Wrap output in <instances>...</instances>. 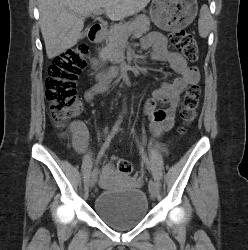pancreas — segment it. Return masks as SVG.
Masks as SVG:
<instances>
[{"label":"pancreas","instance_id":"1","mask_svg":"<svg viewBox=\"0 0 248 250\" xmlns=\"http://www.w3.org/2000/svg\"><path fill=\"white\" fill-rule=\"evenodd\" d=\"M150 30V20L139 15L129 22L112 26L106 31V45L99 52L102 61L118 63L121 58V44L130 34L141 36Z\"/></svg>","mask_w":248,"mask_h":250}]
</instances>
